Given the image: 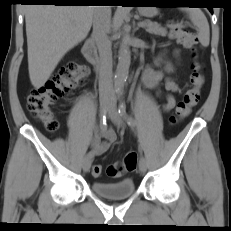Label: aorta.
I'll list each match as a JSON object with an SVG mask.
<instances>
[{"mask_svg": "<svg viewBox=\"0 0 231 231\" xmlns=\"http://www.w3.org/2000/svg\"><path fill=\"white\" fill-rule=\"evenodd\" d=\"M131 62V52L127 40H123L119 49L118 65L114 77V87L120 91L129 74V67Z\"/></svg>", "mask_w": 231, "mask_h": 231, "instance_id": "762f6f07", "label": "aorta"}]
</instances>
